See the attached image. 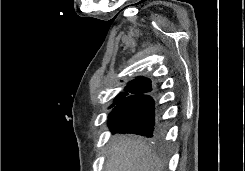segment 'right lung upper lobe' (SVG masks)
Listing matches in <instances>:
<instances>
[{
	"label": "right lung upper lobe",
	"instance_id": "obj_1",
	"mask_svg": "<svg viewBox=\"0 0 245 171\" xmlns=\"http://www.w3.org/2000/svg\"><path fill=\"white\" fill-rule=\"evenodd\" d=\"M152 90L151 80L141 76L137 77L127 84V86L124 88V92H121L116 96L112 105L115 104L117 106L122 101H129L135 97L146 95Z\"/></svg>",
	"mask_w": 245,
	"mask_h": 171
}]
</instances>
